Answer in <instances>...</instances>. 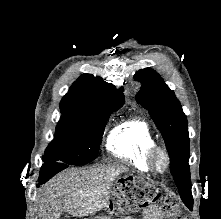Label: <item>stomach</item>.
Instances as JSON below:
<instances>
[{
    "label": "stomach",
    "instance_id": "obj_1",
    "mask_svg": "<svg viewBox=\"0 0 221 219\" xmlns=\"http://www.w3.org/2000/svg\"><path fill=\"white\" fill-rule=\"evenodd\" d=\"M154 195H167V190H154Z\"/></svg>",
    "mask_w": 221,
    "mask_h": 219
}]
</instances>
